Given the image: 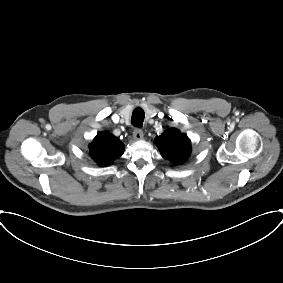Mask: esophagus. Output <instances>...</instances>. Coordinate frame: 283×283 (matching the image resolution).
Listing matches in <instances>:
<instances>
[{
	"label": "esophagus",
	"mask_w": 283,
	"mask_h": 283,
	"mask_svg": "<svg viewBox=\"0 0 283 283\" xmlns=\"http://www.w3.org/2000/svg\"><path fill=\"white\" fill-rule=\"evenodd\" d=\"M143 131L140 128H135L133 131V137L136 140H140L143 138Z\"/></svg>",
	"instance_id": "1"
}]
</instances>
